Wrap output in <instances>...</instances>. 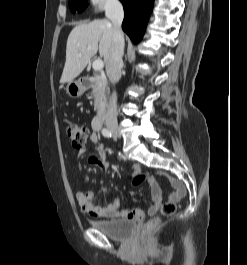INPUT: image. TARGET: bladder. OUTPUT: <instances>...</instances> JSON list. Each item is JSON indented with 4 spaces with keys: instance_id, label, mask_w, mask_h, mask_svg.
Listing matches in <instances>:
<instances>
[{
    "instance_id": "31cf9c89",
    "label": "bladder",
    "mask_w": 247,
    "mask_h": 265,
    "mask_svg": "<svg viewBox=\"0 0 247 265\" xmlns=\"http://www.w3.org/2000/svg\"><path fill=\"white\" fill-rule=\"evenodd\" d=\"M90 225L107 237L118 241L128 239L135 227L133 221L129 219L91 220Z\"/></svg>"
}]
</instances>
